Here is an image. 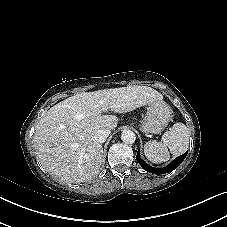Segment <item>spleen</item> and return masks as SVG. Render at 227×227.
I'll use <instances>...</instances> for the list:
<instances>
[{
	"instance_id": "obj_1",
	"label": "spleen",
	"mask_w": 227,
	"mask_h": 227,
	"mask_svg": "<svg viewBox=\"0 0 227 227\" xmlns=\"http://www.w3.org/2000/svg\"><path fill=\"white\" fill-rule=\"evenodd\" d=\"M189 130L181 122L175 123L162 136V141H148L144 145L146 158L155 164L168 161L170 153L180 155L189 147Z\"/></svg>"
}]
</instances>
